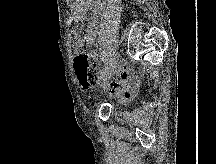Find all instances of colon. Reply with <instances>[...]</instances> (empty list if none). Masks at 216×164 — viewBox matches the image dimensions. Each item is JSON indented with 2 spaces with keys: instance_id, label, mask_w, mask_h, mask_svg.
<instances>
[{
  "instance_id": "1",
  "label": "colon",
  "mask_w": 216,
  "mask_h": 164,
  "mask_svg": "<svg viewBox=\"0 0 216 164\" xmlns=\"http://www.w3.org/2000/svg\"><path fill=\"white\" fill-rule=\"evenodd\" d=\"M84 40L82 37H75L73 40V50L77 53L75 58V68L81 85L88 89L97 85L99 81V71L93 62L90 54L82 53Z\"/></svg>"
}]
</instances>
